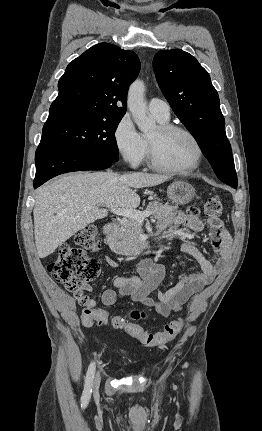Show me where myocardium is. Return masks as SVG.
I'll list each match as a JSON object with an SVG mask.
<instances>
[{
    "label": "myocardium",
    "instance_id": "1",
    "mask_svg": "<svg viewBox=\"0 0 262 431\" xmlns=\"http://www.w3.org/2000/svg\"><path fill=\"white\" fill-rule=\"evenodd\" d=\"M157 128H158V131L160 134H169V133H173V132H180V133L187 135L192 140V142L195 146L196 156H195V160H194L193 164L189 168L168 167V166L160 163V161L157 158L156 151H155L153 144L149 140H147L149 164L153 169L160 171V172L167 173V174L190 175L191 173H193L195 170H197L200 167L202 159H203V148H202V145H201L199 139L191 130H189L188 128H186L184 126L176 125V124H172V123L160 124Z\"/></svg>",
    "mask_w": 262,
    "mask_h": 431
}]
</instances>
